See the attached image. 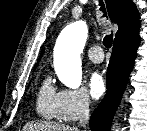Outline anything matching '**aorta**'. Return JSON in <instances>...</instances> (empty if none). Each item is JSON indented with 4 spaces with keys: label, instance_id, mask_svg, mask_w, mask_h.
<instances>
[{
    "label": "aorta",
    "instance_id": "obj_1",
    "mask_svg": "<svg viewBox=\"0 0 147 131\" xmlns=\"http://www.w3.org/2000/svg\"><path fill=\"white\" fill-rule=\"evenodd\" d=\"M88 28L76 21L63 29L54 49V68L59 80L68 88L77 89L82 82L80 55L84 49Z\"/></svg>",
    "mask_w": 147,
    "mask_h": 131
}]
</instances>
